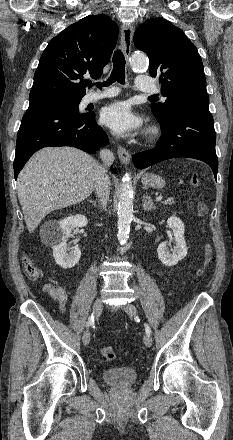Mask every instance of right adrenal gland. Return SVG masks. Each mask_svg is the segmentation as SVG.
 Listing matches in <instances>:
<instances>
[{
    "label": "right adrenal gland",
    "mask_w": 233,
    "mask_h": 440,
    "mask_svg": "<svg viewBox=\"0 0 233 440\" xmlns=\"http://www.w3.org/2000/svg\"><path fill=\"white\" fill-rule=\"evenodd\" d=\"M90 203H92L95 207H97V202L94 200H89Z\"/></svg>",
    "instance_id": "right-adrenal-gland-1"
}]
</instances>
